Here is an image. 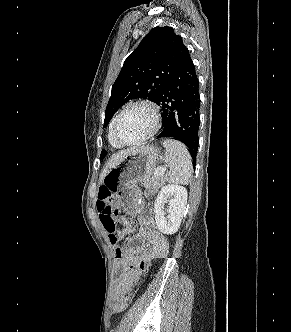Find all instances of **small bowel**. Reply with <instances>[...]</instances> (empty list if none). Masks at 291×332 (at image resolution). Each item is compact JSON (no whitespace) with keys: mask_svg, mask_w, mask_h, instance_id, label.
Returning a JSON list of instances; mask_svg holds the SVG:
<instances>
[{"mask_svg":"<svg viewBox=\"0 0 291 332\" xmlns=\"http://www.w3.org/2000/svg\"><path fill=\"white\" fill-rule=\"evenodd\" d=\"M123 230L121 238L133 232V226L126 218L121 220ZM132 241L137 245L117 249L115 270L119 278L115 284L114 296L120 299L137 282L153 259L164 258L168 253V242L156 227L153 217L142 214L139 217V229Z\"/></svg>","mask_w":291,"mask_h":332,"instance_id":"obj_1","label":"small bowel"}]
</instances>
